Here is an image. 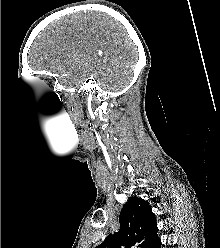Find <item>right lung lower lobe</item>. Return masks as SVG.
<instances>
[{
	"label": "right lung lower lobe",
	"mask_w": 220,
	"mask_h": 248,
	"mask_svg": "<svg viewBox=\"0 0 220 248\" xmlns=\"http://www.w3.org/2000/svg\"><path fill=\"white\" fill-rule=\"evenodd\" d=\"M152 248H161V241L159 240Z\"/></svg>",
	"instance_id": "obj_1"
}]
</instances>
